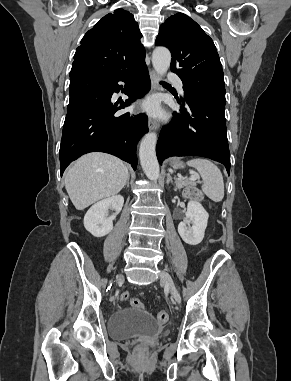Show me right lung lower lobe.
<instances>
[{"mask_svg":"<svg viewBox=\"0 0 291 381\" xmlns=\"http://www.w3.org/2000/svg\"><path fill=\"white\" fill-rule=\"evenodd\" d=\"M124 81L129 100L118 106L111 101ZM151 82L145 61L125 72L103 77L86 73H70L69 105L60 145V172L81 155L100 151L115 155L137 166L136 144L148 132L145 114L117 113L135 99L144 96Z\"/></svg>","mask_w":291,"mask_h":381,"instance_id":"right-lung-lower-lobe-1","label":"right lung lower lobe"}]
</instances>
